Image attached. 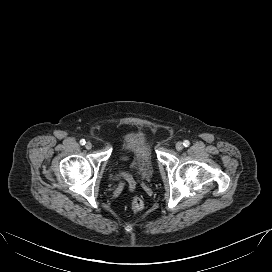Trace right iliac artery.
<instances>
[{
    "instance_id": "right-iliac-artery-1",
    "label": "right iliac artery",
    "mask_w": 272,
    "mask_h": 272,
    "mask_svg": "<svg viewBox=\"0 0 272 272\" xmlns=\"http://www.w3.org/2000/svg\"><path fill=\"white\" fill-rule=\"evenodd\" d=\"M85 143H86V141H85L84 139H81V140H80V144H81V145H85Z\"/></svg>"
}]
</instances>
